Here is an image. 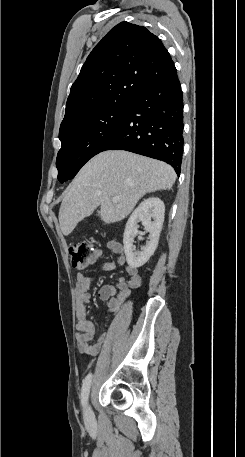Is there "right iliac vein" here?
<instances>
[{
	"label": "right iliac vein",
	"instance_id": "1",
	"mask_svg": "<svg viewBox=\"0 0 245 457\" xmlns=\"http://www.w3.org/2000/svg\"><path fill=\"white\" fill-rule=\"evenodd\" d=\"M84 419L85 422L90 424L94 421V414L92 412V409L89 405V403L86 402L85 408H84Z\"/></svg>",
	"mask_w": 245,
	"mask_h": 457
}]
</instances>
